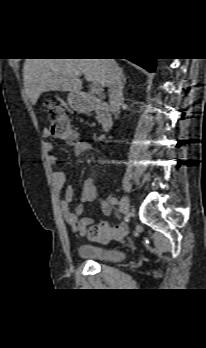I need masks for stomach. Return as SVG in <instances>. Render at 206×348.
Returning <instances> with one entry per match:
<instances>
[{
	"label": "stomach",
	"instance_id": "0dacf381",
	"mask_svg": "<svg viewBox=\"0 0 206 348\" xmlns=\"http://www.w3.org/2000/svg\"><path fill=\"white\" fill-rule=\"evenodd\" d=\"M67 101L69 106L76 111H83L86 107V102L80 93H69Z\"/></svg>",
	"mask_w": 206,
	"mask_h": 348
}]
</instances>
